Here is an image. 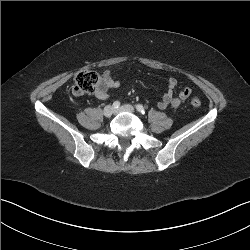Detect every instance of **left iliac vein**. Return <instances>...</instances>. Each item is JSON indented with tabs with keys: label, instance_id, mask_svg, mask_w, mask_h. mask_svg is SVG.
Wrapping results in <instances>:
<instances>
[{
	"label": "left iliac vein",
	"instance_id": "1",
	"mask_svg": "<svg viewBox=\"0 0 250 250\" xmlns=\"http://www.w3.org/2000/svg\"><path fill=\"white\" fill-rule=\"evenodd\" d=\"M116 112H130V113H134L135 112V108L133 106H131V105H123L119 109H117Z\"/></svg>",
	"mask_w": 250,
	"mask_h": 250
}]
</instances>
